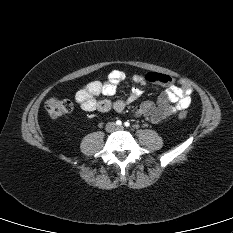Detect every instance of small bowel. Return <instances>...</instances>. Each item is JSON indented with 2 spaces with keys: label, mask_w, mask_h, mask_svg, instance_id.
Returning <instances> with one entry per match:
<instances>
[{
  "label": "small bowel",
  "mask_w": 233,
  "mask_h": 233,
  "mask_svg": "<svg viewBox=\"0 0 233 233\" xmlns=\"http://www.w3.org/2000/svg\"><path fill=\"white\" fill-rule=\"evenodd\" d=\"M126 78L124 72L113 70L105 81H91L80 88L75 94V100L83 111L107 113L109 111L121 112L126 104L133 103L141 95L142 90L133 87L124 100L111 101L108 99L98 100L99 95L112 96L116 93L117 86ZM133 81L139 85L153 83L166 87L160 94L156 103L145 101L135 111L137 117H145L153 123H160L166 118L184 111L191 104L193 91L189 82L184 79L174 80L168 75L150 72L145 75L133 76Z\"/></svg>",
  "instance_id": "c3829d8e"
}]
</instances>
